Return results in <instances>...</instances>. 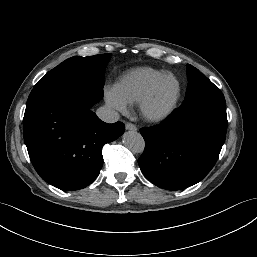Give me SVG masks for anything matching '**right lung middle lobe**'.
I'll use <instances>...</instances> for the list:
<instances>
[{
    "label": "right lung middle lobe",
    "mask_w": 257,
    "mask_h": 257,
    "mask_svg": "<svg viewBox=\"0 0 257 257\" xmlns=\"http://www.w3.org/2000/svg\"><path fill=\"white\" fill-rule=\"evenodd\" d=\"M110 57V54L71 57L49 71L34 88L46 87L70 80H80L96 87L99 94L103 96L104 70Z\"/></svg>",
    "instance_id": "obj_1"
}]
</instances>
